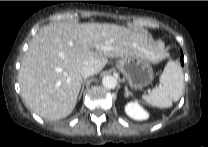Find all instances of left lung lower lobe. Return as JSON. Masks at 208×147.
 <instances>
[{"instance_id":"left-lung-lower-lobe-1","label":"left lung lower lobe","mask_w":208,"mask_h":147,"mask_svg":"<svg viewBox=\"0 0 208 147\" xmlns=\"http://www.w3.org/2000/svg\"><path fill=\"white\" fill-rule=\"evenodd\" d=\"M183 53L181 52V65L183 66Z\"/></svg>"}]
</instances>
